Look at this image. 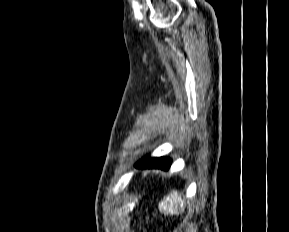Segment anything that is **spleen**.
<instances>
[{
    "label": "spleen",
    "instance_id": "3e777b00",
    "mask_svg": "<svg viewBox=\"0 0 289 232\" xmlns=\"http://www.w3.org/2000/svg\"><path fill=\"white\" fill-rule=\"evenodd\" d=\"M184 205L181 194L173 190L159 203V209L164 215H179L184 212Z\"/></svg>",
    "mask_w": 289,
    "mask_h": 232
}]
</instances>
